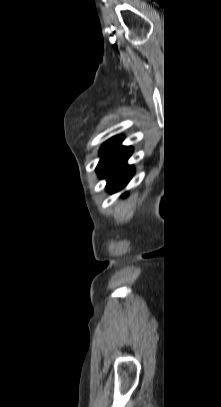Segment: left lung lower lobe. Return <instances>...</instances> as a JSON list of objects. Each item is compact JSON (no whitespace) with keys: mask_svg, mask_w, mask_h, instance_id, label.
Returning a JSON list of instances; mask_svg holds the SVG:
<instances>
[{"mask_svg":"<svg viewBox=\"0 0 221 407\" xmlns=\"http://www.w3.org/2000/svg\"><path fill=\"white\" fill-rule=\"evenodd\" d=\"M123 138H117L101 155L96 168L100 178H107L106 189L117 192L124 188L134 174V168L127 165V160L132 154V147L122 146Z\"/></svg>","mask_w":221,"mask_h":407,"instance_id":"1","label":"left lung lower lobe"}]
</instances>
